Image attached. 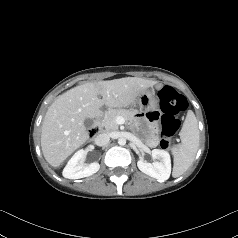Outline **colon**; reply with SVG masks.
<instances>
[{
    "label": "colon",
    "instance_id": "obj_1",
    "mask_svg": "<svg viewBox=\"0 0 238 238\" xmlns=\"http://www.w3.org/2000/svg\"><path fill=\"white\" fill-rule=\"evenodd\" d=\"M158 97L163 116L160 145L163 149H168L171 137L180 127V120L177 116L186 110L187 100L171 86L162 87L158 92Z\"/></svg>",
    "mask_w": 238,
    "mask_h": 238
}]
</instances>
